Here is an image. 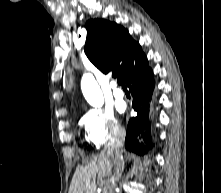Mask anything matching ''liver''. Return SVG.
I'll list each match as a JSON object with an SVG mask.
<instances>
[{
	"mask_svg": "<svg viewBox=\"0 0 221 193\" xmlns=\"http://www.w3.org/2000/svg\"><path fill=\"white\" fill-rule=\"evenodd\" d=\"M114 168L113 155L104 150L93 156L89 164L79 166L73 175L69 193H95V178L112 176Z\"/></svg>",
	"mask_w": 221,
	"mask_h": 193,
	"instance_id": "6515ba94",
	"label": "liver"
}]
</instances>
